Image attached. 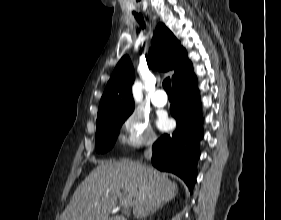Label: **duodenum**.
I'll return each mask as SVG.
<instances>
[{"instance_id":"1","label":"duodenum","mask_w":281,"mask_h":220,"mask_svg":"<svg viewBox=\"0 0 281 220\" xmlns=\"http://www.w3.org/2000/svg\"><path fill=\"white\" fill-rule=\"evenodd\" d=\"M110 220H126L125 218H123V217H119V216H117V217H113V218H111Z\"/></svg>"}]
</instances>
